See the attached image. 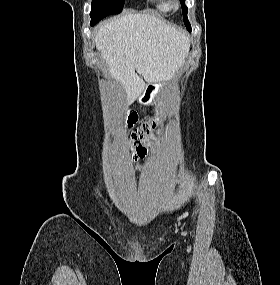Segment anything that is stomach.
<instances>
[{
    "instance_id": "obj_1",
    "label": "stomach",
    "mask_w": 280,
    "mask_h": 285,
    "mask_svg": "<svg viewBox=\"0 0 280 285\" xmlns=\"http://www.w3.org/2000/svg\"><path fill=\"white\" fill-rule=\"evenodd\" d=\"M167 85L168 81L149 83L137 99L144 105L152 104L162 95L161 91L167 88Z\"/></svg>"
}]
</instances>
